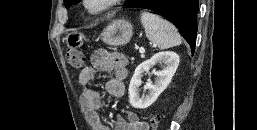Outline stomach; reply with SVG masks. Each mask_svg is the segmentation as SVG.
Here are the masks:
<instances>
[{
	"label": "stomach",
	"mask_w": 257,
	"mask_h": 130,
	"mask_svg": "<svg viewBox=\"0 0 257 130\" xmlns=\"http://www.w3.org/2000/svg\"><path fill=\"white\" fill-rule=\"evenodd\" d=\"M133 35L132 24L125 19H116L109 23L100 34L101 40L111 46L127 44ZM84 35L78 31L67 33L64 37L66 45L73 49L83 44Z\"/></svg>",
	"instance_id": "obj_1"
}]
</instances>
